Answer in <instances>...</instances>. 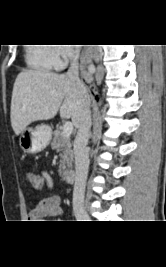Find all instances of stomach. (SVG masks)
Masks as SVG:
<instances>
[{
  "label": "stomach",
  "instance_id": "obj_1",
  "mask_svg": "<svg viewBox=\"0 0 166 267\" xmlns=\"http://www.w3.org/2000/svg\"><path fill=\"white\" fill-rule=\"evenodd\" d=\"M52 129L48 125H39L36 128H26L19 138L20 147L27 154H36L43 151L49 144Z\"/></svg>",
  "mask_w": 166,
  "mask_h": 267
}]
</instances>
